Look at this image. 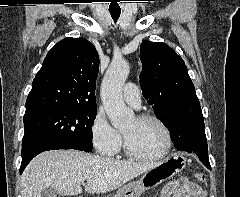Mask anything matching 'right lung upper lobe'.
<instances>
[{
    "label": "right lung upper lobe",
    "instance_id": "obj_1",
    "mask_svg": "<svg viewBox=\"0 0 240 197\" xmlns=\"http://www.w3.org/2000/svg\"><path fill=\"white\" fill-rule=\"evenodd\" d=\"M99 56L84 38L68 37L46 55L32 83L26 111L48 107H97L95 97Z\"/></svg>",
    "mask_w": 240,
    "mask_h": 197
}]
</instances>
